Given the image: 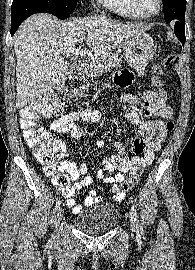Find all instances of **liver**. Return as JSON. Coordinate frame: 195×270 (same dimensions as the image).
Masks as SVG:
<instances>
[{"label":"liver","mask_w":195,"mask_h":270,"mask_svg":"<svg viewBox=\"0 0 195 270\" xmlns=\"http://www.w3.org/2000/svg\"><path fill=\"white\" fill-rule=\"evenodd\" d=\"M144 29L122 24L105 16L61 22L46 13L26 19L14 35L16 106L22 108L64 82L68 63L61 55L85 45L96 55L112 51Z\"/></svg>","instance_id":"1"}]
</instances>
